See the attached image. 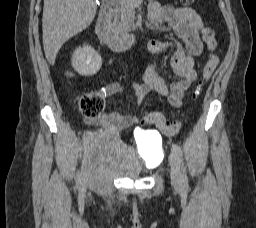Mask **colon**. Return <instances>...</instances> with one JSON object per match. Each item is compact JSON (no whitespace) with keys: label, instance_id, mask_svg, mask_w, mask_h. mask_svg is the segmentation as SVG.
Returning a JSON list of instances; mask_svg holds the SVG:
<instances>
[{"label":"colon","instance_id":"5ec220e1","mask_svg":"<svg viewBox=\"0 0 256 228\" xmlns=\"http://www.w3.org/2000/svg\"><path fill=\"white\" fill-rule=\"evenodd\" d=\"M185 5H190L194 0H180ZM204 40L208 49L212 52L215 48L216 41L213 31L209 28L204 29ZM219 57L215 54H210L208 62L205 64L202 71V78L196 86L193 96L198 97L207 81L211 78L217 65ZM105 96L103 92H90L83 94L78 101V108L83 116L88 119H95L99 117L104 109ZM143 123L146 125H155L158 127H166L169 130L174 128V125L167 121L165 116L160 112H149L144 115Z\"/></svg>","mask_w":256,"mask_h":228}]
</instances>
